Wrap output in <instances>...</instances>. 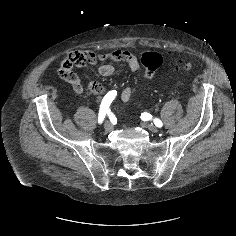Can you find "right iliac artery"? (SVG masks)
Returning a JSON list of instances; mask_svg holds the SVG:
<instances>
[{
    "instance_id": "right-iliac-artery-1",
    "label": "right iliac artery",
    "mask_w": 236,
    "mask_h": 236,
    "mask_svg": "<svg viewBox=\"0 0 236 236\" xmlns=\"http://www.w3.org/2000/svg\"><path fill=\"white\" fill-rule=\"evenodd\" d=\"M117 95L116 90L109 91L103 98L101 105H100V110L98 114V123H102L106 114L110 113V104L112 101L115 99Z\"/></svg>"
}]
</instances>
